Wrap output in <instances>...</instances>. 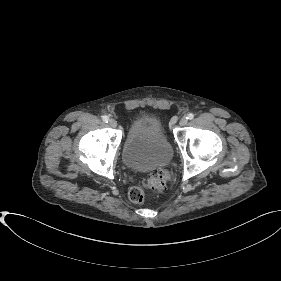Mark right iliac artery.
Masks as SVG:
<instances>
[{"label": "right iliac artery", "mask_w": 281, "mask_h": 281, "mask_svg": "<svg viewBox=\"0 0 281 281\" xmlns=\"http://www.w3.org/2000/svg\"><path fill=\"white\" fill-rule=\"evenodd\" d=\"M102 119H103V121L106 122V123L109 121V117L106 116V115H104V116L102 117Z\"/></svg>", "instance_id": "82829eb1"}]
</instances>
